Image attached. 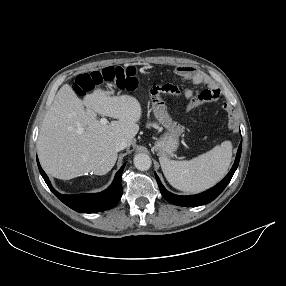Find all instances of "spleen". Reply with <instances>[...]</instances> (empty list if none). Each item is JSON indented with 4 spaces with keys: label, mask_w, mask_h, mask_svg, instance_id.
<instances>
[{
    "label": "spleen",
    "mask_w": 286,
    "mask_h": 286,
    "mask_svg": "<svg viewBox=\"0 0 286 286\" xmlns=\"http://www.w3.org/2000/svg\"><path fill=\"white\" fill-rule=\"evenodd\" d=\"M232 158V144L225 141L188 161L160 157L162 171L174 188L199 193L213 187L227 173Z\"/></svg>",
    "instance_id": "spleen-1"
}]
</instances>
